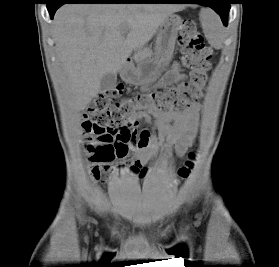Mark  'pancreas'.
<instances>
[{
	"label": "pancreas",
	"mask_w": 279,
	"mask_h": 267,
	"mask_svg": "<svg viewBox=\"0 0 279 267\" xmlns=\"http://www.w3.org/2000/svg\"><path fill=\"white\" fill-rule=\"evenodd\" d=\"M153 55L152 51L149 48L140 49L135 53L134 59L136 61H142L148 58H151Z\"/></svg>",
	"instance_id": "cf45deb5"
}]
</instances>
